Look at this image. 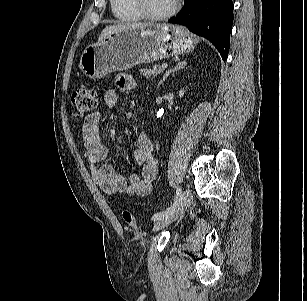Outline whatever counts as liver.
<instances>
[{"mask_svg":"<svg viewBox=\"0 0 307 301\" xmlns=\"http://www.w3.org/2000/svg\"><path fill=\"white\" fill-rule=\"evenodd\" d=\"M150 24L147 23H132V24H118V25H110L103 29L101 35L99 36V41L104 40L108 35L113 33L114 31L121 30V29H128V28H141L148 26Z\"/></svg>","mask_w":307,"mask_h":301,"instance_id":"liver-1","label":"liver"}]
</instances>
